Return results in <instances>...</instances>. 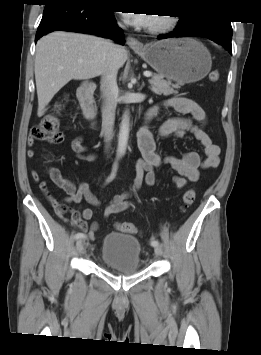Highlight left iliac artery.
Listing matches in <instances>:
<instances>
[{
  "label": "left iliac artery",
  "mask_w": 261,
  "mask_h": 355,
  "mask_svg": "<svg viewBox=\"0 0 261 355\" xmlns=\"http://www.w3.org/2000/svg\"><path fill=\"white\" fill-rule=\"evenodd\" d=\"M151 245H152L153 247L158 246V245H159V241L153 239V240L151 241Z\"/></svg>",
  "instance_id": "left-iliac-artery-1"
}]
</instances>
